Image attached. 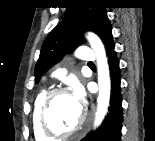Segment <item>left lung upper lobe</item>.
Listing matches in <instances>:
<instances>
[{"mask_svg": "<svg viewBox=\"0 0 155 141\" xmlns=\"http://www.w3.org/2000/svg\"><path fill=\"white\" fill-rule=\"evenodd\" d=\"M105 8L100 0H75L67 7L64 20L50 32L42 45L35 66L36 82L75 45L83 31L95 32L105 44L112 35V26Z\"/></svg>", "mask_w": 155, "mask_h": 141, "instance_id": "obj_1", "label": "left lung upper lobe"}]
</instances>
